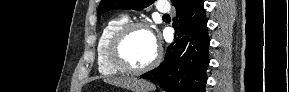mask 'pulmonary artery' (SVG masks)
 <instances>
[{
  "mask_svg": "<svg viewBox=\"0 0 289 92\" xmlns=\"http://www.w3.org/2000/svg\"><path fill=\"white\" fill-rule=\"evenodd\" d=\"M157 10L160 12V13H164V14H167L169 11H170V7L167 3L165 2H159L157 4Z\"/></svg>",
  "mask_w": 289,
  "mask_h": 92,
  "instance_id": "pulmonary-artery-1",
  "label": "pulmonary artery"
}]
</instances>
